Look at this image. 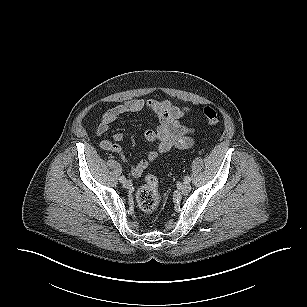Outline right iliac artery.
<instances>
[{
	"instance_id": "obj_1",
	"label": "right iliac artery",
	"mask_w": 307,
	"mask_h": 307,
	"mask_svg": "<svg viewBox=\"0 0 307 307\" xmlns=\"http://www.w3.org/2000/svg\"><path fill=\"white\" fill-rule=\"evenodd\" d=\"M119 181H120L121 183H124V182L126 181V178H125L124 176H121V177L119 178Z\"/></svg>"
}]
</instances>
